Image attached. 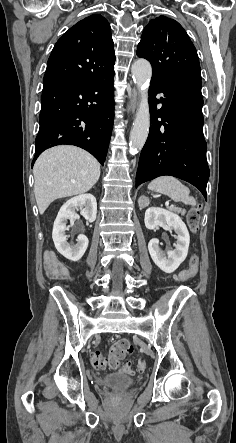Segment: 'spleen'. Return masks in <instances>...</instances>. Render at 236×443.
I'll return each mask as SVG.
<instances>
[{"instance_id": "3e777b00", "label": "spleen", "mask_w": 236, "mask_h": 443, "mask_svg": "<svg viewBox=\"0 0 236 443\" xmlns=\"http://www.w3.org/2000/svg\"><path fill=\"white\" fill-rule=\"evenodd\" d=\"M148 189L163 193L175 202L181 201L186 205H196L195 198L190 196L189 188L172 176H161L154 179L149 183Z\"/></svg>"}]
</instances>
